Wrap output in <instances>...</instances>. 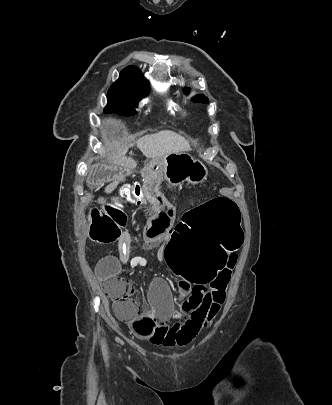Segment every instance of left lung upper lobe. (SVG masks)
Returning <instances> with one entry per match:
<instances>
[{
  "label": "left lung upper lobe",
  "instance_id": "1",
  "mask_svg": "<svg viewBox=\"0 0 332 405\" xmlns=\"http://www.w3.org/2000/svg\"><path fill=\"white\" fill-rule=\"evenodd\" d=\"M192 100L195 102H204V103L208 102V99L205 98V96H203V95H197L194 98H192Z\"/></svg>",
  "mask_w": 332,
  "mask_h": 405
}]
</instances>
